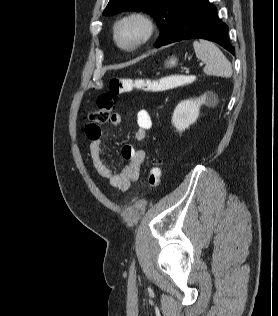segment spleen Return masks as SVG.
Instances as JSON below:
<instances>
[{"label":"spleen","instance_id":"obj_1","mask_svg":"<svg viewBox=\"0 0 278 316\" xmlns=\"http://www.w3.org/2000/svg\"><path fill=\"white\" fill-rule=\"evenodd\" d=\"M193 47L197 58L206 64L204 72L207 75L231 77L232 65L214 43L205 40L195 41Z\"/></svg>","mask_w":278,"mask_h":316}]
</instances>
